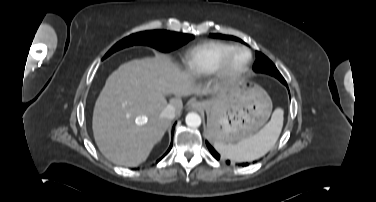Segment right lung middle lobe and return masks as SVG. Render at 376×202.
Listing matches in <instances>:
<instances>
[{
  "label": "right lung middle lobe",
  "instance_id": "right-lung-middle-lobe-1",
  "mask_svg": "<svg viewBox=\"0 0 376 202\" xmlns=\"http://www.w3.org/2000/svg\"><path fill=\"white\" fill-rule=\"evenodd\" d=\"M194 36L166 30L144 31L132 34L116 43L104 56L108 57L112 53L122 48L132 45H148L164 52L175 50L186 44ZM103 58V59H104Z\"/></svg>",
  "mask_w": 376,
  "mask_h": 202
}]
</instances>
